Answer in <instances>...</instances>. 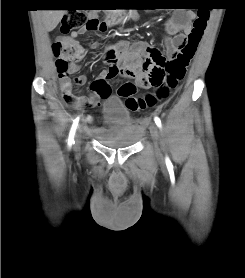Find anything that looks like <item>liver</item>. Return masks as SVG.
Here are the masks:
<instances>
[{
  "instance_id": "6515ba94",
  "label": "liver",
  "mask_w": 245,
  "mask_h": 278,
  "mask_svg": "<svg viewBox=\"0 0 245 278\" xmlns=\"http://www.w3.org/2000/svg\"><path fill=\"white\" fill-rule=\"evenodd\" d=\"M65 11L66 10H42V21L47 31L50 32L57 27Z\"/></svg>"
}]
</instances>
